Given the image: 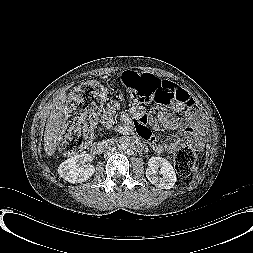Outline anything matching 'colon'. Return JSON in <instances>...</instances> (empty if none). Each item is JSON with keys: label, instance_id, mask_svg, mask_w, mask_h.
<instances>
[{"label": "colon", "instance_id": "1", "mask_svg": "<svg viewBox=\"0 0 253 253\" xmlns=\"http://www.w3.org/2000/svg\"><path fill=\"white\" fill-rule=\"evenodd\" d=\"M122 82L129 95L139 103L167 106L172 103L174 94L180 91L167 80L133 70L122 74ZM105 94V87L99 82H85L74 90L68 102L66 122L59 142L63 154L73 155L87 145ZM173 158L177 173L186 177L196 162V150L189 142L181 141L174 151Z\"/></svg>", "mask_w": 253, "mask_h": 253}]
</instances>
